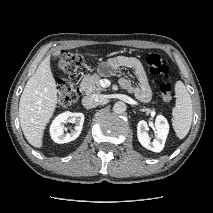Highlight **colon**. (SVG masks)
<instances>
[{"mask_svg": "<svg viewBox=\"0 0 213 213\" xmlns=\"http://www.w3.org/2000/svg\"><path fill=\"white\" fill-rule=\"evenodd\" d=\"M148 69L151 74L159 76L162 81L159 90L164 100H170L172 97V85L168 81L169 68L167 61L158 54H151L147 58ZM84 66V58L77 53L63 52L58 60V68L72 75V78ZM81 95L79 87L73 80L61 81L58 84V104L67 107L76 102Z\"/></svg>", "mask_w": 213, "mask_h": 213, "instance_id": "obj_1", "label": "colon"}]
</instances>
